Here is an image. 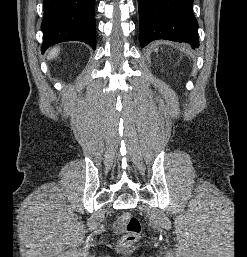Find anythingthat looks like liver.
<instances>
[{
    "instance_id": "6515ba94",
    "label": "liver",
    "mask_w": 247,
    "mask_h": 257,
    "mask_svg": "<svg viewBox=\"0 0 247 257\" xmlns=\"http://www.w3.org/2000/svg\"><path fill=\"white\" fill-rule=\"evenodd\" d=\"M59 53V48H54L53 50L50 51L48 55V59H54Z\"/></svg>"
}]
</instances>
